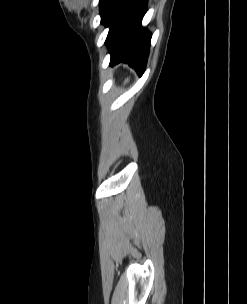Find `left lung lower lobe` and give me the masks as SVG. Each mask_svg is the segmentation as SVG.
<instances>
[{"mask_svg": "<svg viewBox=\"0 0 247 304\" xmlns=\"http://www.w3.org/2000/svg\"><path fill=\"white\" fill-rule=\"evenodd\" d=\"M101 23L109 27L106 39L111 65L128 63L141 76L149 55L151 34L141 26L147 0H100Z\"/></svg>", "mask_w": 247, "mask_h": 304, "instance_id": "1", "label": "left lung lower lobe"}]
</instances>
